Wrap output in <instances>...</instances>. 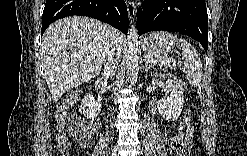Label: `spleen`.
I'll use <instances>...</instances> for the list:
<instances>
[{
    "instance_id": "3e777b00",
    "label": "spleen",
    "mask_w": 247,
    "mask_h": 156,
    "mask_svg": "<svg viewBox=\"0 0 247 156\" xmlns=\"http://www.w3.org/2000/svg\"><path fill=\"white\" fill-rule=\"evenodd\" d=\"M183 65L187 69L186 77L190 85L198 86L202 79V62L197 50L185 39H181Z\"/></svg>"
}]
</instances>
